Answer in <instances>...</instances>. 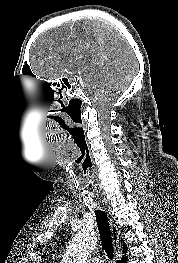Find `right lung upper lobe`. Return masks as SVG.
<instances>
[{"label":"right lung upper lobe","mask_w":178,"mask_h":263,"mask_svg":"<svg viewBox=\"0 0 178 263\" xmlns=\"http://www.w3.org/2000/svg\"><path fill=\"white\" fill-rule=\"evenodd\" d=\"M126 251H127V246L125 244H123V252L126 253Z\"/></svg>","instance_id":"1"}]
</instances>
